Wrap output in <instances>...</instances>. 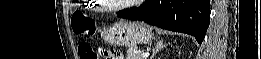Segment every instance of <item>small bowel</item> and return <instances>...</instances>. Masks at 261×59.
Segmentation results:
<instances>
[{"label":"small bowel","mask_w":261,"mask_h":59,"mask_svg":"<svg viewBox=\"0 0 261 59\" xmlns=\"http://www.w3.org/2000/svg\"><path fill=\"white\" fill-rule=\"evenodd\" d=\"M111 52L116 55L114 59H122V55L119 52L117 51H111Z\"/></svg>","instance_id":"obj_1"}]
</instances>
